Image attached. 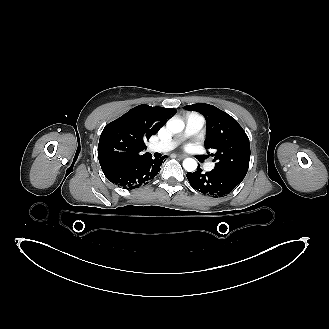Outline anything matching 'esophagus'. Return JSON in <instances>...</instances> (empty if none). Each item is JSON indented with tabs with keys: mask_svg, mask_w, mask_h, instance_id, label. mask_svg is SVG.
Here are the masks:
<instances>
[{
	"mask_svg": "<svg viewBox=\"0 0 329 329\" xmlns=\"http://www.w3.org/2000/svg\"><path fill=\"white\" fill-rule=\"evenodd\" d=\"M177 157L180 158V159H184L186 156L183 155V154H178Z\"/></svg>",
	"mask_w": 329,
	"mask_h": 329,
	"instance_id": "34e87169",
	"label": "esophagus"
}]
</instances>
